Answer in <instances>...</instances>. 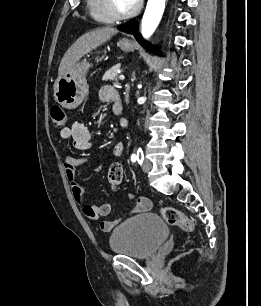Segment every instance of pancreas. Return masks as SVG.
I'll use <instances>...</instances> for the list:
<instances>
[{
  "mask_svg": "<svg viewBox=\"0 0 261 306\" xmlns=\"http://www.w3.org/2000/svg\"><path fill=\"white\" fill-rule=\"evenodd\" d=\"M118 70H120V65L113 66L111 69L106 71V73L103 75L102 80L103 81H116Z\"/></svg>",
  "mask_w": 261,
  "mask_h": 306,
  "instance_id": "pancreas-1",
  "label": "pancreas"
}]
</instances>
